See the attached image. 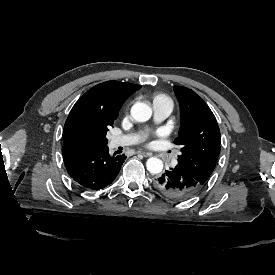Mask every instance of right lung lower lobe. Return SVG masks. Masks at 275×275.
Instances as JSON below:
<instances>
[{
    "mask_svg": "<svg viewBox=\"0 0 275 275\" xmlns=\"http://www.w3.org/2000/svg\"><path fill=\"white\" fill-rule=\"evenodd\" d=\"M107 146L89 144L65 145L62 154L73 180L85 189L98 190L111 184L126 156H110Z\"/></svg>",
    "mask_w": 275,
    "mask_h": 275,
    "instance_id": "98d812e1",
    "label": "right lung lower lobe"
}]
</instances>
